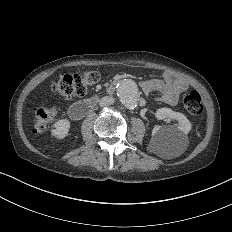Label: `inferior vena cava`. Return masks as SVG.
I'll use <instances>...</instances> for the list:
<instances>
[{"label": "inferior vena cava", "instance_id": "602c4592", "mask_svg": "<svg viewBox=\"0 0 232 232\" xmlns=\"http://www.w3.org/2000/svg\"><path fill=\"white\" fill-rule=\"evenodd\" d=\"M114 103V98L110 96H105L100 101V106H108Z\"/></svg>", "mask_w": 232, "mask_h": 232}]
</instances>
